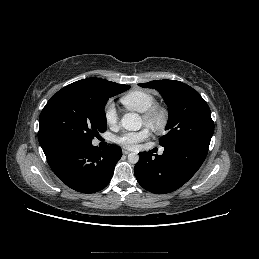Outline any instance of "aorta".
<instances>
[{
  "instance_id": "obj_1",
  "label": "aorta",
  "mask_w": 259,
  "mask_h": 259,
  "mask_svg": "<svg viewBox=\"0 0 259 259\" xmlns=\"http://www.w3.org/2000/svg\"><path fill=\"white\" fill-rule=\"evenodd\" d=\"M121 126L128 131H137L142 126L141 117L136 113H127L121 119ZM128 161L131 164H136L139 161V155L137 153H130L128 155Z\"/></svg>"
}]
</instances>
